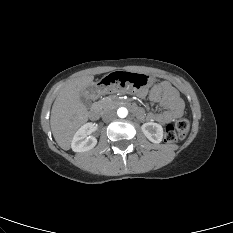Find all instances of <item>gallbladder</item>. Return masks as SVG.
<instances>
[{"label":"gallbladder","mask_w":233,"mask_h":233,"mask_svg":"<svg viewBox=\"0 0 233 233\" xmlns=\"http://www.w3.org/2000/svg\"><path fill=\"white\" fill-rule=\"evenodd\" d=\"M80 98L86 107H88V108L91 107L92 100L90 98L86 97L84 94H81Z\"/></svg>","instance_id":"gallbladder-1"}]
</instances>
